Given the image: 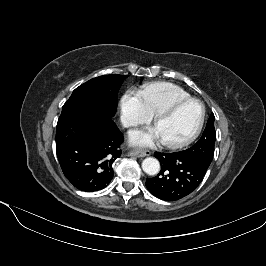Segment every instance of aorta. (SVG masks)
Segmentation results:
<instances>
[{"instance_id":"762f6f07","label":"aorta","mask_w":266,"mask_h":266,"mask_svg":"<svg viewBox=\"0 0 266 266\" xmlns=\"http://www.w3.org/2000/svg\"><path fill=\"white\" fill-rule=\"evenodd\" d=\"M142 169L148 175H156L160 171V163L156 158L148 157L143 160Z\"/></svg>"}]
</instances>
